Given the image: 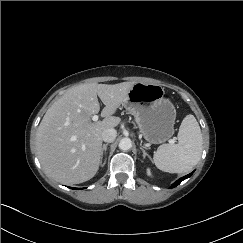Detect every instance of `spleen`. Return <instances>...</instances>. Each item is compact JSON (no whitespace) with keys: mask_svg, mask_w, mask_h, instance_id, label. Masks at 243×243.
Returning <instances> with one entry per match:
<instances>
[{"mask_svg":"<svg viewBox=\"0 0 243 243\" xmlns=\"http://www.w3.org/2000/svg\"><path fill=\"white\" fill-rule=\"evenodd\" d=\"M177 144H163L154 153L156 167L169 173H188L197 165L202 154V134L196 118L187 115L178 131Z\"/></svg>","mask_w":243,"mask_h":243,"instance_id":"1","label":"spleen"}]
</instances>
